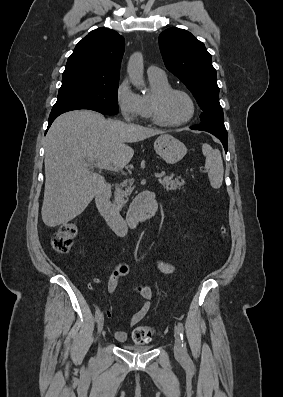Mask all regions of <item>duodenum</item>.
Returning <instances> with one entry per match:
<instances>
[{
	"label": "duodenum",
	"instance_id": "410a0bca",
	"mask_svg": "<svg viewBox=\"0 0 283 397\" xmlns=\"http://www.w3.org/2000/svg\"><path fill=\"white\" fill-rule=\"evenodd\" d=\"M110 192L111 187L108 183L102 185L95 201L107 224L120 236L149 221L158 209L152 192L143 191L133 199L127 216L124 217L110 201Z\"/></svg>",
	"mask_w": 283,
	"mask_h": 397
}]
</instances>
